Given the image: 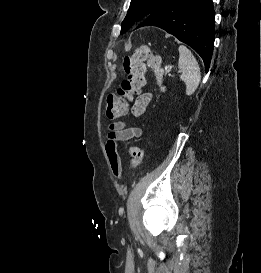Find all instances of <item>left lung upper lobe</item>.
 <instances>
[{
	"label": "left lung upper lobe",
	"mask_w": 261,
	"mask_h": 273,
	"mask_svg": "<svg viewBox=\"0 0 261 273\" xmlns=\"http://www.w3.org/2000/svg\"><path fill=\"white\" fill-rule=\"evenodd\" d=\"M171 0H132L125 19L121 24V34L129 30L136 21L166 6Z\"/></svg>",
	"instance_id": "1"
}]
</instances>
